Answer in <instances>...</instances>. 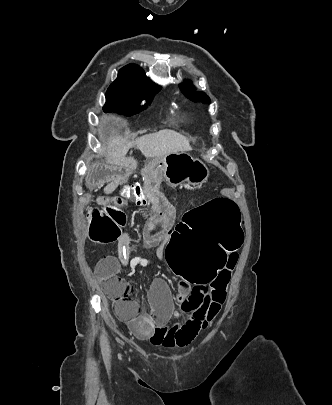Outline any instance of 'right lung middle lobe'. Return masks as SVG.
Instances as JSON below:
<instances>
[{
	"instance_id": "obj_1",
	"label": "right lung middle lobe",
	"mask_w": 332,
	"mask_h": 405,
	"mask_svg": "<svg viewBox=\"0 0 332 405\" xmlns=\"http://www.w3.org/2000/svg\"><path fill=\"white\" fill-rule=\"evenodd\" d=\"M158 88L139 89L115 80L106 92V104L103 108L105 112H114L126 116H132L146 108L147 104L140 106L143 99H148L150 104L152 95Z\"/></svg>"
}]
</instances>
